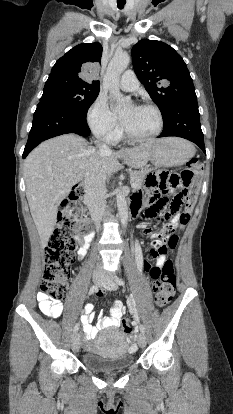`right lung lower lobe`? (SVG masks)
Wrapping results in <instances>:
<instances>
[{
	"label": "right lung lower lobe",
	"mask_w": 233,
	"mask_h": 414,
	"mask_svg": "<svg viewBox=\"0 0 233 414\" xmlns=\"http://www.w3.org/2000/svg\"><path fill=\"white\" fill-rule=\"evenodd\" d=\"M66 133L88 136L90 129L86 115L52 102H40L34 113L23 158L42 141Z\"/></svg>",
	"instance_id": "98d812e1"
}]
</instances>
